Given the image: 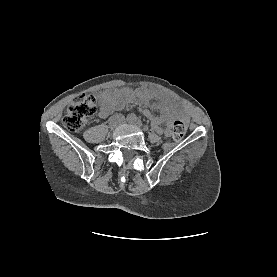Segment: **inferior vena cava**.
I'll return each mask as SVG.
<instances>
[{"mask_svg": "<svg viewBox=\"0 0 277 277\" xmlns=\"http://www.w3.org/2000/svg\"><path fill=\"white\" fill-rule=\"evenodd\" d=\"M120 118L122 119L121 123H123L124 120H125L124 116H121V115H120Z\"/></svg>", "mask_w": 277, "mask_h": 277, "instance_id": "obj_1", "label": "inferior vena cava"}]
</instances>
